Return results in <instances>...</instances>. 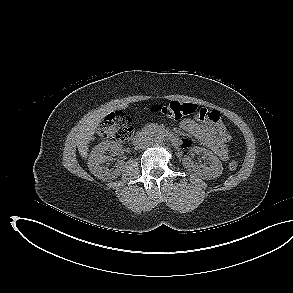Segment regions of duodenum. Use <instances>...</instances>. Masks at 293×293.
I'll use <instances>...</instances> for the list:
<instances>
[{"instance_id": "1", "label": "duodenum", "mask_w": 293, "mask_h": 293, "mask_svg": "<svg viewBox=\"0 0 293 293\" xmlns=\"http://www.w3.org/2000/svg\"><path fill=\"white\" fill-rule=\"evenodd\" d=\"M150 134H158L170 140L175 146L177 147L180 146V141L178 140V138L175 136L174 133L163 128H153V127L147 128L137 133L132 139L133 145L135 146L140 145L144 141V139Z\"/></svg>"}]
</instances>
